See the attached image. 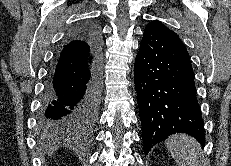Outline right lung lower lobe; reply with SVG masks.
<instances>
[{
  "instance_id": "right-lung-lower-lobe-1",
  "label": "right lung lower lobe",
  "mask_w": 231,
  "mask_h": 166,
  "mask_svg": "<svg viewBox=\"0 0 231 166\" xmlns=\"http://www.w3.org/2000/svg\"><path fill=\"white\" fill-rule=\"evenodd\" d=\"M98 26L75 28L59 48L41 100L38 126L44 135L75 136L93 126L101 95Z\"/></svg>"
}]
</instances>
